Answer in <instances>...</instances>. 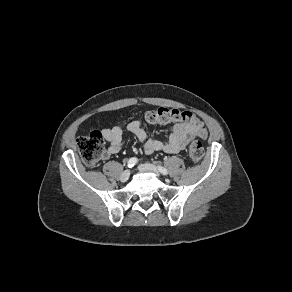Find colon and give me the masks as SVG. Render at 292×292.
Masks as SVG:
<instances>
[{
  "mask_svg": "<svg viewBox=\"0 0 292 292\" xmlns=\"http://www.w3.org/2000/svg\"><path fill=\"white\" fill-rule=\"evenodd\" d=\"M178 109L158 108L145 113V119L149 123H166L175 121L183 116ZM76 144L83 161L87 165H95L105 155L103 135L100 131H92L86 136L78 137ZM188 155L192 164L199 163L204 156V146L198 139L193 140L188 148Z\"/></svg>",
  "mask_w": 292,
  "mask_h": 292,
  "instance_id": "obj_1",
  "label": "colon"
}]
</instances>
